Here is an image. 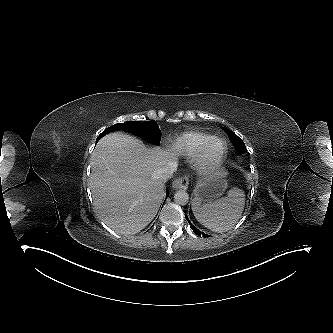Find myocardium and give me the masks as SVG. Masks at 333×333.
<instances>
[{"label": "myocardium", "mask_w": 333, "mask_h": 333, "mask_svg": "<svg viewBox=\"0 0 333 333\" xmlns=\"http://www.w3.org/2000/svg\"><path fill=\"white\" fill-rule=\"evenodd\" d=\"M222 143V150L216 157H210L208 154L209 148L214 142ZM227 152L226 142L219 137H211L203 146L200 152L196 155L195 166L199 172H207L218 167L223 161Z\"/></svg>", "instance_id": "myocardium-1"}]
</instances>
